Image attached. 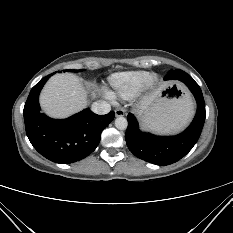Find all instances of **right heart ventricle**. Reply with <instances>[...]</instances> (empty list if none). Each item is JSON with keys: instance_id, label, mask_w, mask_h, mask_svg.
Returning a JSON list of instances; mask_svg holds the SVG:
<instances>
[{"instance_id": "obj_1", "label": "right heart ventricle", "mask_w": 233, "mask_h": 233, "mask_svg": "<svg viewBox=\"0 0 233 233\" xmlns=\"http://www.w3.org/2000/svg\"><path fill=\"white\" fill-rule=\"evenodd\" d=\"M150 73L127 71L112 74L109 79V95L113 98L131 99L146 85Z\"/></svg>"}]
</instances>
